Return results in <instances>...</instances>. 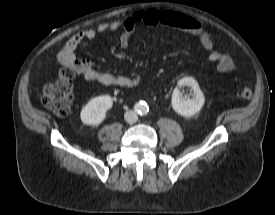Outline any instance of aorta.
Returning a JSON list of instances; mask_svg holds the SVG:
<instances>
[{
    "label": "aorta",
    "instance_id": "obj_1",
    "mask_svg": "<svg viewBox=\"0 0 275 215\" xmlns=\"http://www.w3.org/2000/svg\"><path fill=\"white\" fill-rule=\"evenodd\" d=\"M137 109H138V112L141 113V114H145L148 112L149 110V107L146 103L144 102H140L138 105H137Z\"/></svg>",
    "mask_w": 275,
    "mask_h": 215
}]
</instances>
